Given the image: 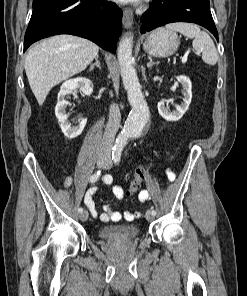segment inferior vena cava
I'll use <instances>...</instances> for the list:
<instances>
[{
  "instance_id": "1",
  "label": "inferior vena cava",
  "mask_w": 247,
  "mask_h": 296,
  "mask_svg": "<svg viewBox=\"0 0 247 296\" xmlns=\"http://www.w3.org/2000/svg\"><path fill=\"white\" fill-rule=\"evenodd\" d=\"M121 114L119 107L115 104L110 106L109 120L100 145L101 152H110L113 147L115 135L120 127Z\"/></svg>"
}]
</instances>
